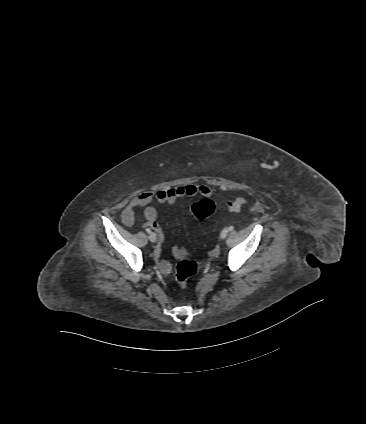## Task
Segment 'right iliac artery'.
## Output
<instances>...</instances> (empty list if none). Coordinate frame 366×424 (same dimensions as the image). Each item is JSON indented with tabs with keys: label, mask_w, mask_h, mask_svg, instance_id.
I'll return each mask as SVG.
<instances>
[{
	"label": "right iliac artery",
	"mask_w": 366,
	"mask_h": 424,
	"mask_svg": "<svg viewBox=\"0 0 366 424\" xmlns=\"http://www.w3.org/2000/svg\"><path fill=\"white\" fill-rule=\"evenodd\" d=\"M146 232L147 233H151V230L148 228V229H146Z\"/></svg>",
	"instance_id": "right-iliac-artery-1"
}]
</instances>
